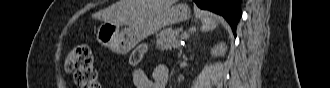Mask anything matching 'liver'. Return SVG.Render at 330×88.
Listing matches in <instances>:
<instances>
[{
    "label": "liver",
    "mask_w": 330,
    "mask_h": 88,
    "mask_svg": "<svg viewBox=\"0 0 330 88\" xmlns=\"http://www.w3.org/2000/svg\"><path fill=\"white\" fill-rule=\"evenodd\" d=\"M175 0H119L101 13L105 22L130 25L150 18L172 6Z\"/></svg>",
    "instance_id": "obj_1"
}]
</instances>
